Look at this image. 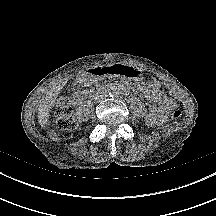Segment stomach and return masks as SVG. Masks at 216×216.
<instances>
[{"instance_id": "stomach-1", "label": "stomach", "mask_w": 216, "mask_h": 216, "mask_svg": "<svg viewBox=\"0 0 216 216\" xmlns=\"http://www.w3.org/2000/svg\"><path fill=\"white\" fill-rule=\"evenodd\" d=\"M101 73L106 78L112 76L117 78L125 77L130 80H140L142 78V71L129 65L107 64L102 68Z\"/></svg>"}]
</instances>
